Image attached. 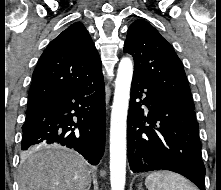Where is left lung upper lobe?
<instances>
[{"label": "left lung upper lobe", "mask_w": 221, "mask_h": 190, "mask_svg": "<svg viewBox=\"0 0 221 190\" xmlns=\"http://www.w3.org/2000/svg\"><path fill=\"white\" fill-rule=\"evenodd\" d=\"M124 52L134 57V76L161 89L178 104L194 109L183 65L173 47L148 22H133L124 44Z\"/></svg>", "instance_id": "left-lung-upper-lobe-1"}]
</instances>
